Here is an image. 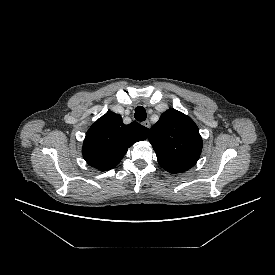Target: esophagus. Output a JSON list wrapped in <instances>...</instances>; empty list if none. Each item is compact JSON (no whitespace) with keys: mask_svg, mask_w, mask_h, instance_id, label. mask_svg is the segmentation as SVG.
<instances>
[{"mask_svg":"<svg viewBox=\"0 0 275 275\" xmlns=\"http://www.w3.org/2000/svg\"><path fill=\"white\" fill-rule=\"evenodd\" d=\"M142 125L145 126L146 128H150V122L148 120L142 122Z\"/></svg>","mask_w":275,"mask_h":275,"instance_id":"1","label":"esophagus"}]
</instances>
